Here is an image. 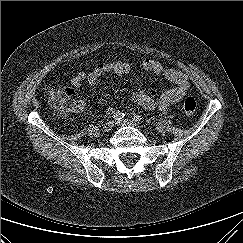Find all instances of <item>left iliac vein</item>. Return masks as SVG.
I'll use <instances>...</instances> for the list:
<instances>
[{"mask_svg": "<svg viewBox=\"0 0 243 243\" xmlns=\"http://www.w3.org/2000/svg\"><path fill=\"white\" fill-rule=\"evenodd\" d=\"M116 123L121 126H132L137 129H141V126L138 123L131 121L129 119H123V120L117 121Z\"/></svg>", "mask_w": 243, "mask_h": 243, "instance_id": "4c4485c4", "label": "left iliac vein"}]
</instances>
